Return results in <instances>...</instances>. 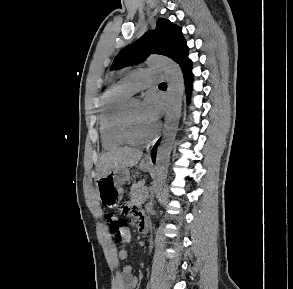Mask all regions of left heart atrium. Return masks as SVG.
Masks as SVG:
<instances>
[{
	"instance_id": "left-heart-atrium-1",
	"label": "left heart atrium",
	"mask_w": 293,
	"mask_h": 289,
	"mask_svg": "<svg viewBox=\"0 0 293 289\" xmlns=\"http://www.w3.org/2000/svg\"><path fill=\"white\" fill-rule=\"evenodd\" d=\"M144 117L152 124H156L163 111V102L160 96L149 93L142 105Z\"/></svg>"
}]
</instances>
